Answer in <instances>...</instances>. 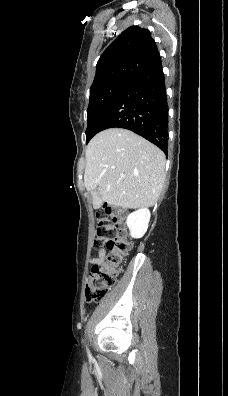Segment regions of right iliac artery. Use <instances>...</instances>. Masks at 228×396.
I'll return each mask as SVG.
<instances>
[{
    "instance_id": "obj_1",
    "label": "right iliac artery",
    "mask_w": 228,
    "mask_h": 396,
    "mask_svg": "<svg viewBox=\"0 0 228 396\" xmlns=\"http://www.w3.org/2000/svg\"><path fill=\"white\" fill-rule=\"evenodd\" d=\"M88 355H89V357L91 358V355H90V352L88 351Z\"/></svg>"
}]
</instances>
